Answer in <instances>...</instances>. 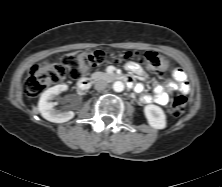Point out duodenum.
Segmentation results:
<instances>
[{
	"label": "duodenum",
	"instance_id": "1",
	"mask_svg": "<svg viewBox=\"0 0 222 187\" xmlns=\"http://www.w3.org/2000/svg\"><path fill=\"white\" fill-rule=\"evenodd\" d=\"M108 78L116 80V81H122L128 85L133 84V79L129 75L119 74V73H110L107 75ZM91 80L90 79H83L79 82L78 88L81 91H86L90 88Z\"/></svg>",
	"mask_w": 222,
	"mask_h": 187
}]
</instances>
